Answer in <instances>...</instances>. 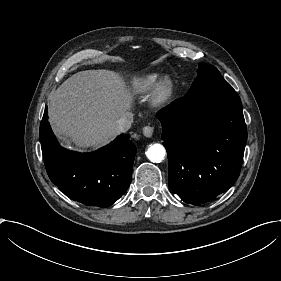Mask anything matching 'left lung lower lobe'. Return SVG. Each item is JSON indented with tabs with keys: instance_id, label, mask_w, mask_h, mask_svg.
Listing matches in <instances>:
<instances>
[{
	"instance_id": "left-lung-lower-lobe-1",
	"label": "left lung lower lobe",
	"mask_w": 281,
	"mask_h": 281,
	"mask_svg": "<svg viewBox=\"0 0 281 281\" xmlns=\"http://www.w3.org/2000/svg\"><path fill=\"white\" fill-rule=\"evenodd\" d=\"M169 186L184 202L215 199L237 180L247 141L239 95L233 90L184 96L160 110Z\"/></svg>"
}]
</instances>
